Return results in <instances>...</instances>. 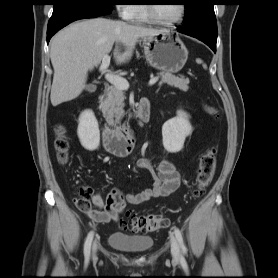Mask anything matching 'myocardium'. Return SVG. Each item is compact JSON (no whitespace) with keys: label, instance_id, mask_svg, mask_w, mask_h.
<instances>
[{"label":"myocardium","instance_id":"f54148a6","mask_svg":"<svg viewBox=\"0 0 278 278\" xmlns=\"http://www.w3.org/2000/svg\"><path fill=\"white\" fill-rule=\"evenodd\" d=\"M179 5H180L179 15L173 21L166 22V21L160 20L154 13L153 5H150V4L145 5L147 17H148L149 21L154 24L164 26V27H173V26L179 24L184 19L185 14H186V6L183 3H181Z\"/></svg>","mask_w":278,"mask_h":278}]
</instances>
